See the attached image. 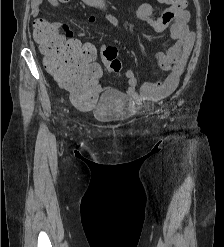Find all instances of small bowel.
<instances>
[{
	"instance_id": "obj_1",
	"label": "small bowel",
	"mask_w": 224,
	"mask_h": 247,
	"mask_svg": "<svg viewBox=\"0 0 224 247\" xmlns=\"http://www.w3.org/2000/svg\"><path fill=\"white\" fill-rule=\"evenodd\" d=\"M70 0H32V14L38 17L41 13V7L48 3L52 7L58 8L63 3H68ZM87 4H95L98 0H83ZM166 8L162 11L159 17H155L153 7L144 3L141 4L134 12L133 16L149 24L156 32H163L167 27H170V36L175 43L169 48L166 53L157 52L154 54V59L158 65L165 71H169L165 80L158 83H145L137 90V79L132 70L125 72L127 80V94L135 101L142 100H160L171 94L179 83L180 76L186 65V62L191 53L194 34L188 26L190 13L186 9L185 0H167ZM106 19L111 25L117 29H121L120 21L106 10H101L98 14ZM96 15L89 17V22H94ZM46 21L37 19L36 21ZM48 22V21H46ZM54 29L61 26L67 29L66 37L71 41H77L73 36V32L68 29V25L62 22H48ZM105 46H102V50Z\"/></svg>"
}]
</instances>
